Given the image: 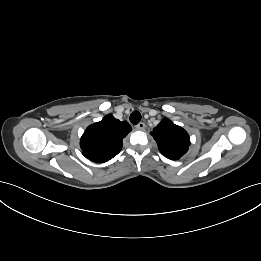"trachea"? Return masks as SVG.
Masks as SVG:
<instances>
[{
	"mask_svg": "<svg viewBox=\"0 0 261 261\" xmlns=\"http://www.w3.org/2000/svg\"><path fill=\"white\" fill-rule=\"evenodd\" d=\"M141 120V114L139 111H133L130 115V122L134 125L138 124Z\"/></svg>",
	"mask_w": 261,
	"mask_h": 261,
	"instance_id": "3493384b",
	"label": "trachea"
}]
</instances>
